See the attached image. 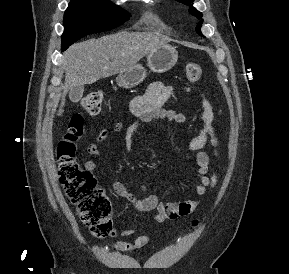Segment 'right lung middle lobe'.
I'll use <instances>...</instances> for the list:
<instances>
[{"label": "right lung middle lobe", "mask_w": 289, "mask_h": 274, "mask_svg": "<svg viewBox=\"0 0 289 274\" xmlns=\"http://www.w3.org/2000/svg\"><path fill=\"white\" fill-rule=\"evenodd\" d=\"M130 17L109 0H71L64 14L62 50L83 36L116 28Z\"/></svg>", "instance_id": "obj_1"}]
</instances>
